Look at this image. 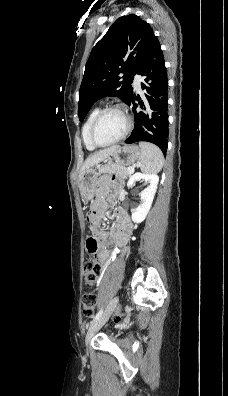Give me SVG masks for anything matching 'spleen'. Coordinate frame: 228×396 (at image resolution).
Listing matches in <instances>:
<instances>
[{
	"mask_svg": "<svg viewBox=\"0 0 228 396\" xmlns=\"http://www.w3.org/2000/svg\"><path fill=\"white\" fill-rule=\"evenodd\" d=\"M141 149L140 168L148 174H156L161 171L164 157L161 150L149 142H139Z\"/></svg>",
	"mask_w": 228,
	"mask_h": 396,
	"instance_id": "obj_1",
	"label": "spleen"
}]
</instances>
